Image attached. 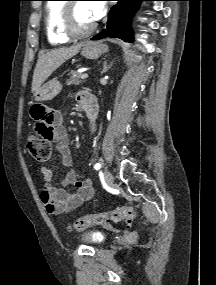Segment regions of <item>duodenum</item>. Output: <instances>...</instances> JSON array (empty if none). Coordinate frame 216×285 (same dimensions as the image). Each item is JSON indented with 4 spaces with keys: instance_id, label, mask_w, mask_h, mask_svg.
I'll use <instances>...</instances> for the list:
<instances>
[{
    "instance_id": "obj_1",
    "label": "duodenum",
    "mask_w": 216,
    "mask_h": 285,
    "mask_svg": "<svg viewBox=\"0 0 216 285\" xmlns=\"http://www.w3.org/2000/svg\"><path fill=\"white\" fill-rule=\"evenodd\" d=\"M83 111L87 119L90 121H93L97 116V106L93 103L87 104Z\"/></svg>"
}]
</instances>
